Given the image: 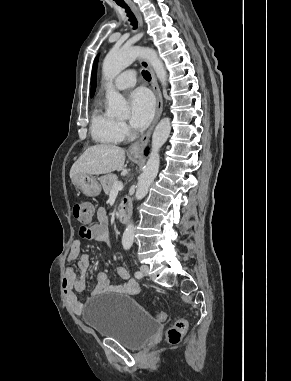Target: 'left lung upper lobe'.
<instances>
[{"instance_id": "obj_1", "label": "left lung upper lobe", "mask_w": 291, "mask_h": 381, "mask_svg": "<svg viewBox=\"0 0 291 381\" xmlns=\"http://www.w3.org/2000/svg\"><path fill=\"white\" fill-rule=\"evenodd\" d=\"M97 63H98V56L95 59L93 69H92V77H91V97L94 95L96 90V72H97Z\"/></svg>"}]
</instances>
